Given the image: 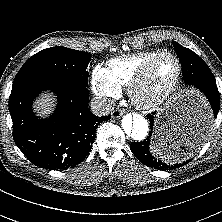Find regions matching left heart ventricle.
Masks as SVG:
<instances>
[{
    "label": "left heart ventricle",
    "instance_id": "obj_1",
    "mask_svg": "<svg viewBox=\"0 0 222 222\" xmlns=\"http://www.w3.org/2000/svg\"><path fill=\"white\" fill-rule=\"evenodd\" d=\"M177 70L173 58L165 56L161 58L152 68L147 82L142 88V95L150 97L160 92L175 77Z\"/></svg>",
    "mask_w": 222,
    "mask_h": 222
}]
</instances>
